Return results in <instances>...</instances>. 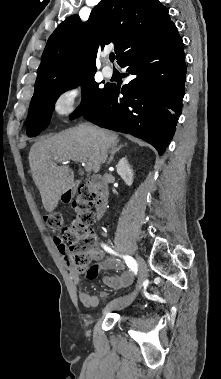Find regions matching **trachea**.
Listing matches in <instances>:
<instances>
[{
	"mask_svg": "<svg viewBox=\"0 0 221 379\" xmlns=\"http://www.w3.org/2000/svg\"><path fill=\"white\" fill-rule=\"evenodd\" d=\"M115 59V55L113 53L110 54V61L113 62Z\"/></svg>",
	"mask_w": 221,
	"mask_h": 379,
	"instance_id": "obj_1",
	"label": "trachea"
}]
</instances>
